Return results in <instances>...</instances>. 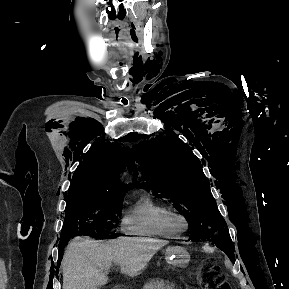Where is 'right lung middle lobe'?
<instances>
[{"instance_id":"1","label":"right lung middle lobe","mask_w":289,"mask_h":289,"mask_svg":"<svg viewBox=\"0 0 289 289\" xmlns=\"http://www.w3.org/2000/svg\"><path fill=\"white\" fill-rule=\"evenodd\" d=\"M122 195H98L69 198L60 242L68 243L75 236L86 235L98 239L112 237L109 230L117 223L113 213L121 212Z\"/></svg>"}]
</instances>
